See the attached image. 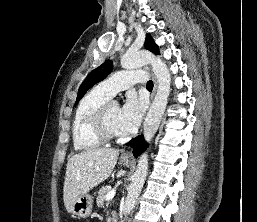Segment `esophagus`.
<instances>
[{
  "instance_id": "esophagus-1",
  "label": "esophagus",
  "mask_w": 257,
  "mask_h": 222,
  "mask_svg": "<svg viewBox=\"0 0 257 222\" xmlns=\"http://www.w3.org/2000/svg\"><path fill=\"white\" fill-rule=\"evenodd\" d=\"M152 77H153V81H154V90H153V94H152V99H153L154 96H155L156 90H157V80H156V78L153 74H152ZM124 156L130 157V153L127 152V153L124 154Z\"/></svg>"
}]
</instances>
